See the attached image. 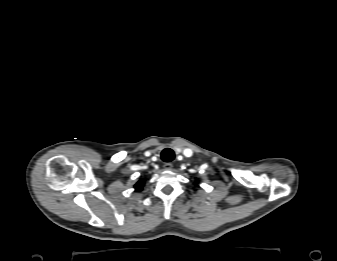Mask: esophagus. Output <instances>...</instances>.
<instances>
[{
	"mask_svg": "<svg viewBox=\"0 0 337 261\" xmlns=\"http://www.w3.org/2000/svg\"><path fill=\"white\" fill-rule=\"evenodd\" d=\"M165 170H171L173 168V164L172 163H165L163 165Z\"/></svg>",
	"mask_w": 337,
	"mask_h": 261,
	"instance_id": "1",
	"label": "esophagus"
}]
</instances>
